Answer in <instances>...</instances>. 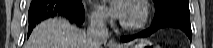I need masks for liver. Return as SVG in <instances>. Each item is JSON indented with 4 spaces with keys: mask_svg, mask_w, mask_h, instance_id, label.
I'll use <instances>...</instances> for the list:
<instances>
[{
    "mask_svg": "<svg viewBox=\"0 0 213 48\" xmlns=\"http://www.w3.org/2000/svg\"><path fill=\"white\" fill-rule=\"evenodd\" d=\"M85 33L64 18H53L37 25L24 48H89Z\"/></svg>",
    "mask_w": 213,
    "mask_h": 48,
    "instance_id": "obj_1",
    "label": "liver"
}]
</instances>
